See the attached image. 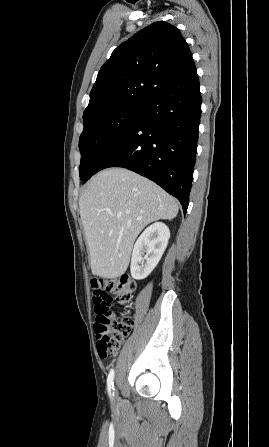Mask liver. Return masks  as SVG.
<instances>
[{"label": "liver", "instance_id": "6515ba94", "mask_svg": "<svg viewBox=\"0 0 269 447\" xmlns=\"http://www.w3.org/2000/svg\"><path fill=\"white\" fill-rule=\"evenodd\" d=\"M79 210L92 273L119 277L129 265L141 229L156 220H173L179 208L175 198L147 178L124 168H108L82 192Z\"/></svg>", "mask_w": 269, "mask_h": 447}]
</instances>
